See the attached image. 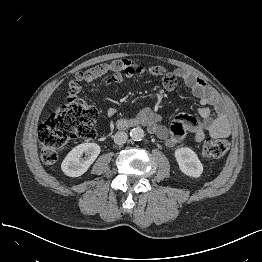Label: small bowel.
Returning a JSON list of instances; mask_svg holds the SVG:
<instances>
[{"mask_svg": "<svg viewBox=\"0 0 262 262\" xmlns=\"http://www.w3.org/2000/svg\"><path fill=\"white\" fill-rule=\"evenodd\" d=\"M123 60L114 61L99 65L90 71L87 75L90 80L101 77L110 71L119 70L120 66L126 64ZM149 73L155 76H161L163 86L166 90H174L179 81H182L191 93L199 100L201 107L198 109L200 121H196L192 116L181 114L177 116L170 127L159 124L161 119L159 113L151 108H145L137 114V119L146 124L148 131L154 134L160 140H163L168 148H173L179 144L187 133H192L197 140H201L204 132H207L214 138H225L231 134L224 101L206 84L205 80L194 73L176 69L168 72L163 66L155 65L150 67ZM212 106L216 111L213 113ZM108 117H115L116 113L111 107L105 111Z\"/></svg>", "mask_w": 262, "mask_h": 262, "instance_id": "c3829d8e", "label": "small bowel"}]
</instances>
